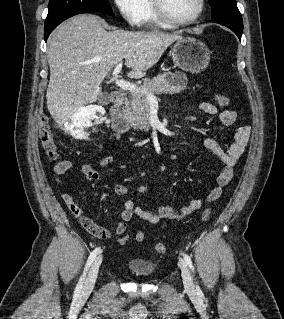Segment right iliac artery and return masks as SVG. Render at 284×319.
<instances>
[{"label":"right iliac artery","mask_w":284,"mask_h":319,"mask_svg":"<svg viewBox=\"0 0 284 319\" xmlns=\"http://www.w3.org/2000/svg\"><path fill=\"white\" fill-rule=\"evenodd\" d=\"M101 252V249L100 247H97L95 248L89 255L88 257V260L86 262V265H85V269H84V272H83V275L81 276L76 288H75V294L79 295L80 292H81V289H82V286H83V282H84V279H85V276H86V273L90 267V265L92 264V262L94 261V259L96 258V256Z\"/></svg>","instance_id":"1"}]
</instances>
